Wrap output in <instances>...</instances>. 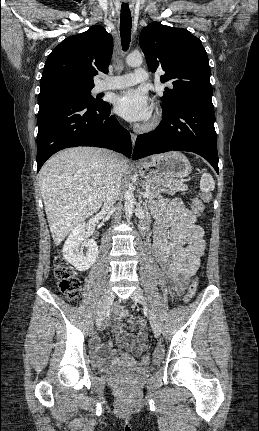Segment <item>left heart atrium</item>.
Segmentation results:
<instances>
[{
  "label": "left heart atrium",
  "instance_id": "left-heart-atrium-1",
  "mask_svg": "<svg viewBox=\"0 0 259 431\" xmlns=\"http://www.w3.org/2000/svg\"><path fill=\"white\" fill-rule=\"evenodd\" d=\"M114 110L131 122H140L151 116V103L147 95L139 90H127L116 96Z\"/></svg>",
  "mask_w": 259,
  "mask_h": 431
}]
</instances>
